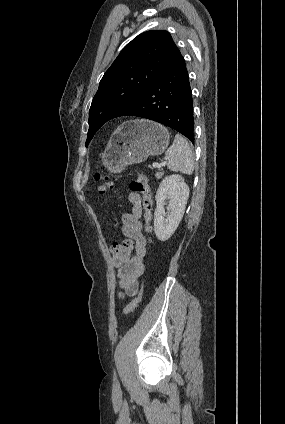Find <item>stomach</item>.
Segmentation results:
<instances>
[{
	"label": "stomach",
	"instance_id": "0dacf381",
	"mask_svg": "<svg viewBox=\"0 0 285 424\" xmlns=\"http://www.w3.org/2000/svg\"><path fill=\"white\" fill-rule=\"evenodd\" d=\"M168 130L155 122L136 119L122 123L102 154V163L112 173L162 154L169 145Z\"/></svg>",
	"mask_w": 285,
	"mask_h": 424
}]
</instances>
